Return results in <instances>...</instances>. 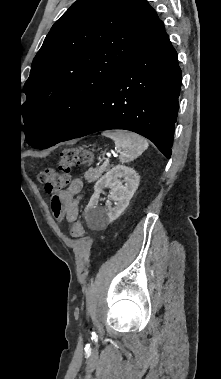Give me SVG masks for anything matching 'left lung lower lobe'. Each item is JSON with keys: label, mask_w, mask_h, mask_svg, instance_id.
Masks as SVG:
<instances>
[{"label": "left lung lower lobe", "mask_w": 221, "mask_h": 379, "mask_svg": "<svg viewBox=\"0 0 221 379\" xmlns=\"http://www.w3.org/2000/svg\"><path fill=\"white\" fill-rule=\"evenodd\" d=\"M181 79L177 53L160 21L61 141L126 129L148 138L170 158Z\"/></svg>", "instance_id": "1"}]
</instances>
